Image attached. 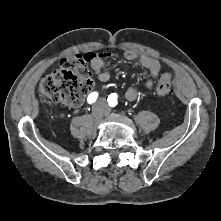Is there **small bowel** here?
<instances>
[{
    "instance_id": "obj_1",
    "label": "small bowel",
    "mask_w": 221,
    "mask_h": 221,
    "mask_svg": "<svg viewBox=\"0 0 221 221\" xmlns=\"http://www.w3.org/2000/svg\"><path fill=\"white\" fill-rule=\"evenodd\" d=\"M108 56H111V54L94 52H88L85 54V57L90 62L91 67L95 72L98 80L101 82H107L111 77L110 72L104 68V58ZM124 57L129 61L136 60L137 58L139 59L140 65L151 75V78L146 81L145 87L149 90L152 89L154 86V79L158 77L161 70L160 62L157 59L147 55L138 56V54L133 50H127L124 53ZM137 96L138 91L134 87H129L125 93V98L128 101H134Z\"/></svg>"
}]
</instances>
